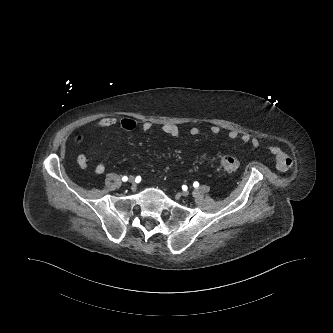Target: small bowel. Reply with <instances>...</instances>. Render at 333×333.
<instances>
[{
	"instance_id": "c3829d8e",
	"label": "small bowel",
	"mask_w": 333,
	"mask_h": 333,
	"mask_svg": "<svg viewBox=\"0 0 333 333\" xmlns=\"http://www.w3.org/2000/svg\"><path fill=\"white\" fill-rule=\"evenodd\" d=\"M117 124V119L115 117H106L98 121L94 126V131L99 132L103 129L109 128ZM137 127V122L131 118H124L122 119L117 128V133L120 131H133ZM152 128V123L146 121L141 124V129L143 131H149ZM162 131L170 136H180L182 134L181 128L172 123H167L162 126ZM210 131L213 135H217L220 133V128L216 125L211 126ZM189 133L192 136H197L200 134V128L198 126H192L189 129ZM228 138L230 140H237L240 139L244 143H250L253 147L258 148L260 146V140L257 137L251 136L249 134H240L236 130H231L228 133ZM115 141V138H114ZM268 151L275 157L279 167L284 169H291L293 167V160L290 156L280 147L277 145H270L267 147ZM78 166L82 170L88 169V158L85 154H80L77 158ZM106 170L105 164L99 162L95 166V173L97 175L104 174Z\"/></svg>"
}]
</instances>
